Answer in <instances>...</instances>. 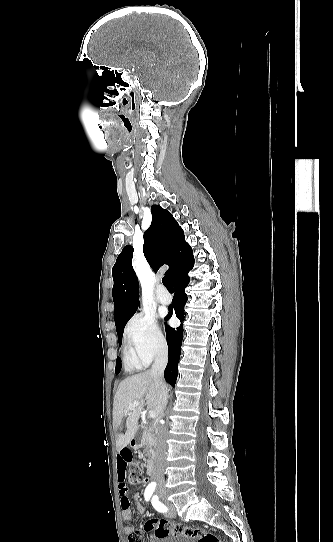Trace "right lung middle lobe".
<instances>
[{"mask_svg": "<svg viewBox=\"0 0 333 542\" xmlns=\"http://www.w3.org/2000/svg\"><path fill=\"white\" fill-rule=\"evenodd\" d=\"M135 314L132 313L128 316H126L125 318H123L120 322L116 323V330H117V334H118V342H119V345L121 344L122 342V335H123V330H124V327L127 323V321ZM121 370V359L118 357L117 360H116V367H115V373L118 374Z\"/></svg>", "mask_w": 333, "mask_h": 542, "instance_id": "right-lung-middle-lobe-1", "label": "right lung middle lobe"}]
</instances>
